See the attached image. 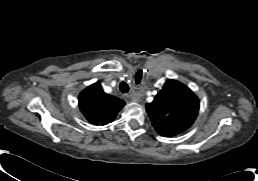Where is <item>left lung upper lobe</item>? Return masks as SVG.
Instances as JSON below:
<instances>
[{"label":"left lung upper lobe","mask_w":258,"mask_h":181,"mask_svg":"<svg viewBox=\"0 0 258 181\" xmlns=\"http://www.w3.org/2000/svg\"><path fill=\"white\" fill-rule=\"evenodd\" d=\"M146 110L156 131L171 137L193 124L199 111V100L184 84L168 80L154 101L146 105Z\"/></svg>","instance_id":"1"}]
</instances>
